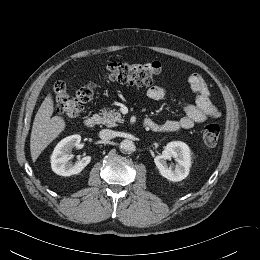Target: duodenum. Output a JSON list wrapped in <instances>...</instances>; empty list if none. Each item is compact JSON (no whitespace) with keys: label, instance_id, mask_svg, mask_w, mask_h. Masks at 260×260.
Wrapping results in <instances>:
<instances>
[{"label":"duodenum","instance_id":"obj_1","mask_svg":"<svg viewBox=\"0 0 260 260\" xmlns=\"http://www.w3.org/2000/svg\"><path fill=\"white\" fill-rule=\"evenodd\" d=\"M99 118L97 116H89L84 120V126L86 128H93L96 126V124L98 123ZM143 126L145 128H151L153 126L152 122L150 119H146L143 122Z\"/></svg>","mask_w":260,"mask_h":260}]
</instances>
